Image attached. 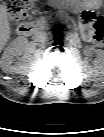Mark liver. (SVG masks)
<instances>
[{"instance_id": "1", "label": "liver", "mask_w": 104, "mask_h": 137, "mask_svg": "<svg viewBox=\"0 0 104 137\" xmlns=\"http://www.w3.org/2000/svg\"><path fill=\"white\" fill-rule=\"evenodd\" d=\"M10 25L7 19V9L5 6H1L0 9V41L1 46L10 39Z\"/></svg>"}]
</instances>
